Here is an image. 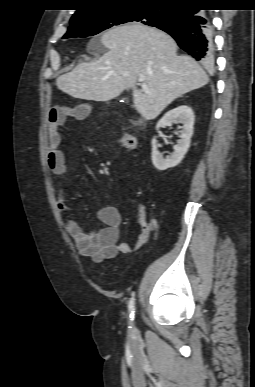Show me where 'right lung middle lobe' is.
Listing matches in <instances>:
<instances>
[{
  "mask_svg": "<svg viewBox=\"0 0 255 387\" xmlns=\"http://www.w3.org/2000/svg\"><path fill=\"white\" fill-rule=\"evenodd\" d=\"M172 12V7L163 6L115 7L71 21L70 27L63 38L93 36L115 25L133 21L159 27L168 22Z\"/></svg>",
  "mask_w": 255,
  "mask_h": 387,
  "instance_id": "dd1d6c3e",
  "label": "right lung middle lobe"
}]
</instances>
